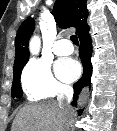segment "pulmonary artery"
<instances>
[{"label":"pulmonary artery","mask_w":117,"mask_h":131,"mask_svg":"<svg viewBox=\"0 0 117 131\" xmlns=\"http://www.w3.org/2000/svg\"><path fill=\"white\" fill-rule=\"evenodd\" d=\"M53 51L58 56L69 55L73 52V46L67 39H60L55 42Z\"/></svg>","instance_id":"1"}]
</instances>
